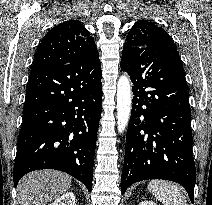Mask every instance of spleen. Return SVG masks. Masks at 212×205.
<instances>
[{
  "mask_svg": "<svg viewBox=\"0 0 212 205\" xmlns=\"http://www.w3.org/2000/svg\"><path fill=\"white\" fill-rule=\"evenodd\" d=\"M147 188L164 205H188L180 188L165 180H152Z\"/></svg>",
  "mask_w": 212,
  "mask_h": 205,
  "instance_id": "3e777b00",
  "label": "spleen"
}]
</instances>
